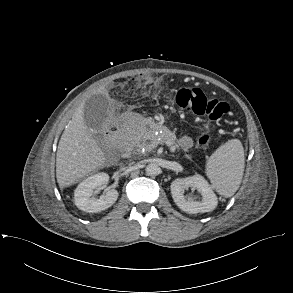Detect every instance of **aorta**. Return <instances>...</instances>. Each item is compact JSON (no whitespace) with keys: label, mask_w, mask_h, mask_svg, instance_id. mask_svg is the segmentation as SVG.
<instances>
[{"label":"aorta","mask_w":293,"mask_h":293,"mask_svg":"<svg viewBox=\"0 0 293 293\" xmlns=\"http://www.w3.org/2000/svg\"><path fill=\"white\" fill-rule=\"evenodd\" d=\"M146 174L149 176H156L160 173L161 169L156 163H149L145 168Z\"/></svg>","instance_id":"762f6f07"}]
</instances>
